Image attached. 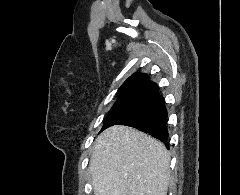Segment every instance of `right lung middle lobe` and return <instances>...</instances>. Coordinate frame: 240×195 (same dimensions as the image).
Listing matches in <instances>:
<instances>
[{
    "label": "right lung middle lobe",
    "instance_id": "right-lung-middle-lobe-1",
    "mask_svg": "<svg viewBox=\"0 0 240 195\" xmlns=\"http://www.w3.org/2000/svg\"><path fill=\"white\" fill-rule=\"evenodd\" d=\"M147 96L148 95L144 94L118 95L117 101L109 111L101 131L116 124L125 116L140 107Z\"/></svg>",
    "mask_w": 240,
    "mask_h": 195
}]
</instances>
